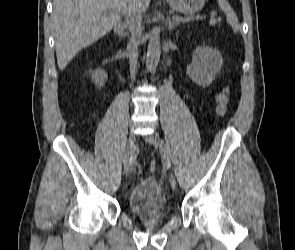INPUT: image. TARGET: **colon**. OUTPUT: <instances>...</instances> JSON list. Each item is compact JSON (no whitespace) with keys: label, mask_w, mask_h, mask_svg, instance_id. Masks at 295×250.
Segmentation results:
<instances>
[{"label":"colon","mask_w":295,"mask_h":250,"mask_svg":"<svg viewBox=\"0 0 295 250\" xmlns=\"http://www.w3.org/2000/svg\"><path fill=\"white\" fill-rule=\"evenodd\" d=\"M229 102V96H228V92L224 91L222 92L218 97H217V110L219 114H224L226 109H227V105ZM156 162H152L150 165V171L153 173L156 170Z\"/></svg>","instance_id":"5ec220e1"}]
</instances>
